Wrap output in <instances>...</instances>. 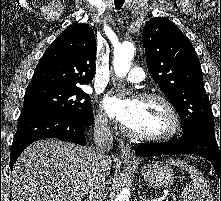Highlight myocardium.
Returning <instances> with one entry per match:
<instances>
[{
	"mask_svg": "<svg viewBox=\"0 0 221 201\" xmlns=\"http://www.w3.org/2000/svg\"><path fill=\"white\" fill-rule=\"evenodd\" d=\"M135 99L139 101L155 100V101L160 102L165 107L166 111L168 112L170 116L171 128L165 134L146 135V134H138V133L132 132L128 128H126L123 124H121L120 128L122 132H124L127 136L134 138L136 140H141V141L163 142V141L171 140L180 132L181 122H180L178 112L176 111L174 105L171 103V101L167 97L158 93L146 92V93L138 94Z\"/></svg>",
	"mask_w": 221,
	"mask_h": 201,
	"instance_id": "obj_1",
	"label": "myocardium"
}]
</instances>
